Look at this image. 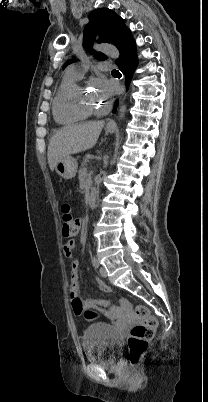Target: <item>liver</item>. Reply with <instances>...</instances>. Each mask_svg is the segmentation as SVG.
I'll use <instances>...</instances> for the list:
<instances>
[{
    "label": "liver",
    "instance_id": "6515ba94",
    "mask_svg": "<svg viewBox=\"0 0 208 402\" xmlns=\"http://www.w3.org/2000/svg\"><path fill=\"white\" fill-rule=\"evenodd\" d=\"M104 120L99 122H86V124H72L64 126L59 132L52 136L48 146V164L50 170L62 160L64 156L79 154L95 146L99 134L104 126Z\"/></svg>",
    "mask_w": 208,
    "mask_h": 402
}]
</instances>
